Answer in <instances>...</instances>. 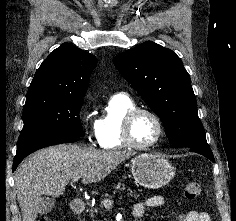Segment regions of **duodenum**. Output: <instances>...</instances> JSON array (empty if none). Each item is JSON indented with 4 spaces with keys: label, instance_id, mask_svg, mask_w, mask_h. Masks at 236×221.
Wrapping results in <instances>:
<instances>
[{
    "label": "duodenum",
    "instance_id": "duodenum-1",
    "mask_svg": "<svg viewBox=\"0 0 236 221\" xmlns=\"http://www.w3.org/2000/svg\"><path fill=\"white\" fill-rule=\"evenodd\" d=\"M71 210L74 215H80L85 210V205L80 200H73L71 202Z\"/></svg>",
    "mask_w": 236,
    "mask_h": 221
}]
</instances>
